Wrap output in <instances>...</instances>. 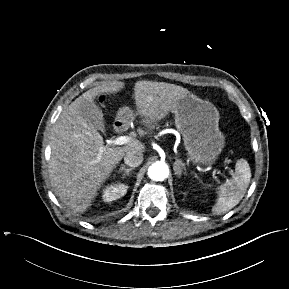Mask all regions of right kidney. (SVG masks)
I'll return each instance as SVG.
<instances>
[{
  "label": "right kidney",
  "mask_w": 289,
  "mask_h": 289,
  "mask_svg": "<svg viewBox=\"0 0 289 289\" xmlns=\"http://www.w3.org/2000/svg\"><path fill=\"white\" fill-rule=\"evenodd\" d=\"M128 186L122 184V183H115L108 185L104 190H103V200L105 202H111L114 200H117L124 196L127 192Z\"/></svg>",
  "instance_id": "right-kidney-1"
}]
</instances>
